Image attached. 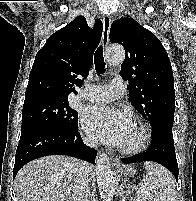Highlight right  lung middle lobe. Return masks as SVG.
<instances>
[{"instance_id":"right-lung-middle-lobe-1","label":"right lung middle lobe","mask_w":196,"mask_h":201,"mask_svg":"<svg viewBox=\"0 0 196 201\" xmlns=\"http://www.w3.org/2000/svg\"><path fill=\"white\" fill-rule=\"evenodd\" d=\"M34 126L71 131L78 126V113L69 106L67 98L38 96L25 99L21 129Z\"/></svg>"}]
</instances>
